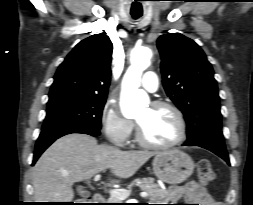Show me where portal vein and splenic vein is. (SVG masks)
<instances>
[{"label": "portal vein and splenic vein", "mask_w": 253, "mask_h": 205, "mask_svg": "<svg viewBox=\"0 0 253 205\" xmlns=\"http://www.w3.org/2000/svg\"><path fill=\"white\" fill-rule=\"evenodd\" d=\"M100 174H97L95 177H94V181H98L100 179ZM110 195L113 196V197H116L117 199L119 200H125L129 197L130 195V191L128 190H124V189H111L109 191ZM140 196L141 197H147L148 196V193L147 192H141L140 193Z\"/></svg>", "instance_id": "portal-vein-and-splenic-vein-1"}]
</instances>
